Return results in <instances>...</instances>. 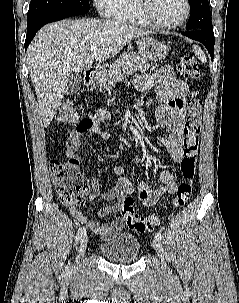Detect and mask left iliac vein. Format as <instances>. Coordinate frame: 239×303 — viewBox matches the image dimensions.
<instances>
[{"label":"left iliac vein","mask_w":239,"mask_h":303,"mask_svg":"<svg viewBox=\"0 0 239 303\" xmlns=\"http://www.w3.org/2000/svg\"><path fill=\"white\" fill-rule=\"evenodd\" d=\"M152 246H153L154 250L156 251L157 255L159 256V258L162 260V262H164V250H163V246H162L160 240H158L156 238L153 239Z\"/></svg>","instance_id":"obj_1"}]
</instances>
